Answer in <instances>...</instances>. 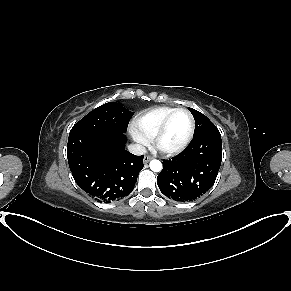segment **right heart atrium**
<instances>
[{"instance_id": "1", "label": "right heart atrium", "mask_w": 291, "mask_h": 291, "mask_svg": "<svg viewBox=\"0 0 291 291\" xmlns=\"http://www.w3.org/2000/svg\"><path fill=\"white\" fill-rule=\"evenodd\" d=\"M133 139L139 144L145 145L148 140L141 134V132L136 128H131L130 130Z\"/></svg>"}]
</instances>
